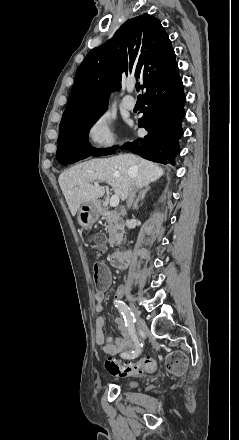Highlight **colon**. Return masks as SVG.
Segmentation results:
<instances>
[{
  "mask_svg": "<svg viewBox=\"0 0 239 440\" xmlns=\"http://www.w3.org/2000/svg\"><path fill=\"white\" fill-rule=\"evenodd\" d=\"M93 240L97 244L103 242L102 235H96ZM93 280L97 288H103L108 282V274L105 265L102 263H95L93 265ZM166 366L169 371L179 374L182 373L186 366V359L183 354L175 352L167 358ZM105 367L110 374L120 377L131 376L135 374L150 373L156 368L154 360L150 358H143L133 362H121L112 358H106Z\"/></svg>",
  "mask_w": 239,
  "mask_h": 440,
  "instance_id": "5ec220e1",
  "label": "colon"
}]
</instances>
